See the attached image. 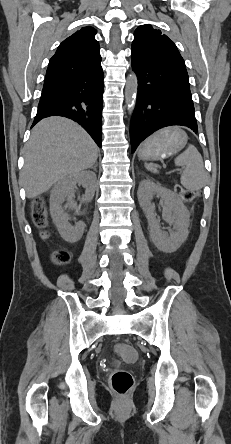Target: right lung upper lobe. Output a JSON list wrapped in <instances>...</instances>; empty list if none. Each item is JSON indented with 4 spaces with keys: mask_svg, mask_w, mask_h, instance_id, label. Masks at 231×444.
Returning <instances> with one entry per match:
<instances>
[{
    "mask_svg": "<svg viewBox=\"0 0 231 444\" xmlns=\"http://www.w3.org/2000/svg\"><path fill=\"white\" fill-rule=\"evenodd\" d=\"M95 34L94 28L83 27L65 39L50 59L45 83L101 69L100 47Z\"/></svg>",
    "mask_w": 231,
    "mask_h": 444,
    "instance_id": "obj_1",
    "label": "right lung upper lobe"
}]
</instances>
